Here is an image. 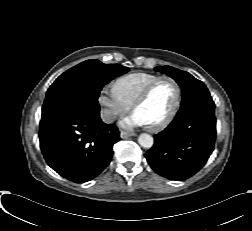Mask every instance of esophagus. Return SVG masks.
Wrapping results in <instances>:
<instances>
[{"instance_id":"34e87169","label":"esophagus","mask_w":252,"mask_h":231,"mask_svg":"<svg viewBox=\"0 0 252 231\" xmlns=\"http://www.w3.org/2000/svg\"><path fill=\"white\" fill-rule=\"evenodd\" d=\"M131 136H135V134L134 133H130V132H126V131H121L120 132V137L122 139H126V138L131 137Z\"/></svg>"}]
</instances>
